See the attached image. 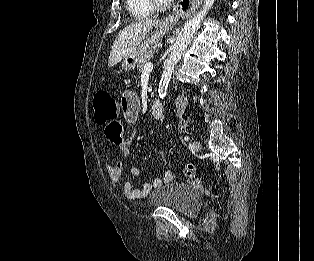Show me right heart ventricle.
Wrapping results in <instances>:
<instances>
[{"mask_svg": "<svg viewBox=\"0 0 314 261\" xmlns=\"http://www.w3.org/2000/svg\"><path fill=\"white\" fill-rule=\"evenodd\" d=\"M126 6L130 15L136 19L149 18L155 12L149 0H126Z\"/></svg>", "mask_w": 314, "mask_h": 261, "instance_id": "1", "label": "right heart ventricle"}]
</instances>
